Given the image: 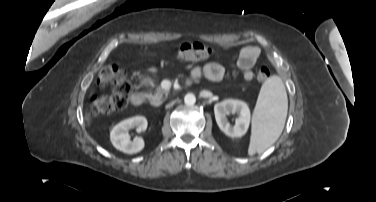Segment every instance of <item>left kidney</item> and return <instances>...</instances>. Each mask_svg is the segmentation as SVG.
I'll return each mask as SVG.
<instances>
[{"instance_id":"left-kidney-1","label":"left kidney","mask_w":376,"mask_h":202,"mask_svg":"<svg viewBox=\"0 0 376 202\" xmlns=\"http://www.w3.org/2000/svg\"><path fill=\"white\" fill-rule=\"evenodd\" d=\"M238 114L235 125L228 122V114ZM214 114L217 125L229 137H242L246 134L250 123V109L248 105L235 99H226L216 103L214 106Z\"/></svg>"}]
</instances>
